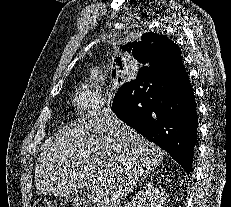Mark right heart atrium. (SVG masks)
I'll list each match as a JSON object with an SVG mask.
<instances>
[{
	"mask_svg": "<svg viewBox=\"0 0 231 207\" xmlns=\"http://www.w3.org/2000/svg\"><path fill=\"white\" fill-rule=\"evenodd\" d=\"M72 105L77 117L90 121L108 107L109 101L96 91L82 89L73 96Z\"/></svg>",
	"mask_w": 231,
	"mask_h": 207,
	"instance_id": "obj_1",
	"label": "right heart atrium"
}]
</instances>
